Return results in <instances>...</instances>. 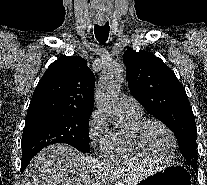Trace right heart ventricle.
<instances>
[{"mask_svg": "<svg viewBox=\"0 0 207 185\" xmlns=\"http://www.w3.org/2000/svg\"><path fill=\"white\" fill-rule=\"evenodd\" d=\"M125 115V125L109 132L102 141L103 156L111 162L123 165L151 164V161L139 151L132 136L134 127L143 120L141 113L125 112Z\"/></svg>", "mask_w": 207, "mask_h": 185, "instance_id": "1", "label": "right heart ventricle"}]
</instances>
